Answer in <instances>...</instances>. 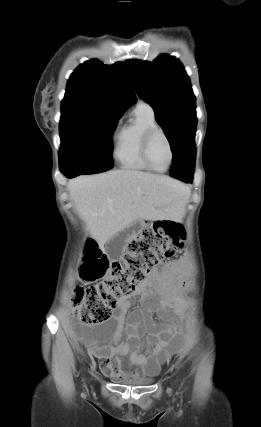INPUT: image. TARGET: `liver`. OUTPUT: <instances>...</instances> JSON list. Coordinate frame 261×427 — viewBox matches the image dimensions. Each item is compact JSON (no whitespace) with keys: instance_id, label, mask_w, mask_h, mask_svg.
I'll list each match as a JSON object with an SVG mask.
<instances>
[{"instance_id":"liver-1","label":"liver","mask_w":261,"mask_h":427,"mask_svg":"<svg viewBox=\"0 0 261 427\" xmlns=\"http://www.w3.org/2000/svg\"><path fill=\"white\" fill-rule=\"evenodd\" d=\"M67 188L78 215L102 249L137 220L180 221L190 196L189 188L177 180L136 170L82 175L70 180Z\"/></svg>"}]
</instances>
